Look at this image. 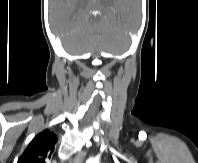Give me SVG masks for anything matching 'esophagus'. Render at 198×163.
<instances>
[{"label": "esophagus", "instance_id": "obj_1", "mask_svg": "<svg viewBox=\"0 0 198 163\" xmlns=\"http://www.w3.org/2000/svg\"><path fill=\"white\" fill-rule=\"evenodd\" d=\"M85 156H86L85 151L80 152L70 161V163H83Z\"/></svg>", "mask_w": 198, "mask_h": 163}]
</instances>
